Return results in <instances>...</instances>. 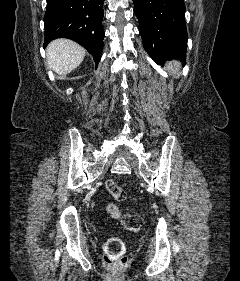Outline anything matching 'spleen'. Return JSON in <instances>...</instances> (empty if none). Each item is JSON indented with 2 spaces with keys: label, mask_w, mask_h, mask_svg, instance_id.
Wrapping results in <instances>:
<instances>
[{
  "label": "spleen",
  "mask_w": 240,
  "mask_h": 281,
  "mask_svg": "<svg viewBox=\"0 0 240 281\" xmlns=\"http://www.w3.org/2000/svg\"><path fill=\"white\" fill-rule=\"evenodd\" d=\"M173 69H177L178 68V63H176V62H173V67H172Z\"/></svg>",
  "instance_id": "obj_1"
}]
</instances>
